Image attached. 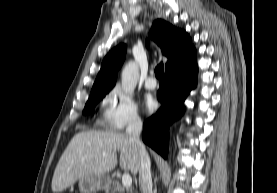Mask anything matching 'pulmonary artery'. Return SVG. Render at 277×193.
Returning a JSON list of instances; mask_svg holds the SVG:
<instances>
[{
    "label": "pulmonary artery",
    "instance_id": "e3ab8cb5",
    "mask_svg": "<svg viewBox=\"0 0 277 193\" xmlns=\"http://www.w3.org/2000/svg\"><path fill=\"white\" fill-rule=\"evenodd\" d=\"M144 85H145V88H146V89H149V90H153V89L156 88L157 83H156V80H155L153 74L149 75V76L145 79Z\"/></svg>",
    "mask_w": 277,
    "mask_h": 193
}]
</instances>
